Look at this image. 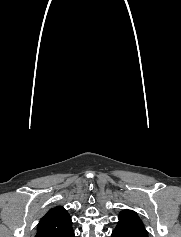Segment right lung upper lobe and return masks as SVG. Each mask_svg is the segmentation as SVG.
Wrapping results in <instances>:
<instances>
[{"mask_svg": "<svg viewBox=\"0 0 181 237\" xmlns=\"http://www.w3.org/2000/svg\"><path fill=\"white\" fill-rule=\"evenodd\" d=\"M72 232L69 213L62 206H56L40 220L35 237H69Z\"/></svg>", "mask_w": 181, "mask_h": 237, "instance_id": "obj_1", "label": "right lung upper lobe"}]
</instances>
